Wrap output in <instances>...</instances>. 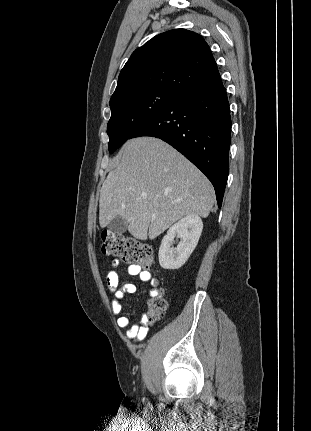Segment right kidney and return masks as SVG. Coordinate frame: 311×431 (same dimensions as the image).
<instances>
[{
    "label": "right kidney",
    "mask_w": 311,
    "mask_h": 431,
    "mask_svg": "<svg viewBox=\"0 0 311 431\" xmlns=\"http://www.w3.org/2000/svg\"><path fill=\"white\" fill-rule=\"evenodd\" d=\"M202 229L203 221L197 214H189V216L182 217L177 223H174L168 229L167 235H164L159 247L158 257L161 267L164 269L181 267L196 247ZM175 235L181 237V241L175 249H171Z\"/></svg>",
    "instance_id": "ca27d5eb"
}]
</instances>
